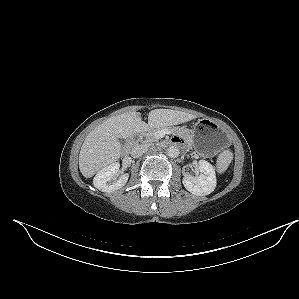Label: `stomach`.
Returning <instances> with one entry per match:
<instances>
[{
  "instance_id": "1",
  "label": "stomach",
  "mask_w": 299,
  "mask_h": 299,
  "mask_svg": "<svg viewBox=\"0 0 299 299\" xmlns=\"http://www.w3.org/2000/svg\"><path fill=\"white\" fill-rule=\"evenodd\" d=\"M197 152L213 156L228 144L225 130L209 119H199L188 133Z\"/></svg>"
}]
</instances>
